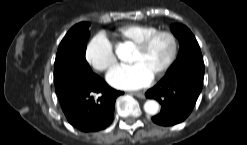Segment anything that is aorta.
I'll return each mask as SVG.
<instances>
[{"label":"aorta","instance_id":"aorta-1","mask_svg":"<svg viewBox=\"0 0 247 145\" xmlns=\"http://www.w3.org/2000/svg\"><path fill=\"white\" fill-rule=\"evenodd\" d=\"M117 54L121 55V50L119 48L117 49ZM144 110L147 114L155 115L159 111V104L155 100H148L144 104Z\"/></svg>","mask_w":247,"mask_h":145}]
</instances>
